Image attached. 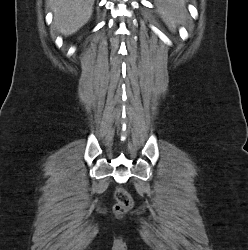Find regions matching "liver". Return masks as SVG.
<instances>
[{
  "label": "liver",
  "mask_w": 248,
  "mask_h": 250,
  "mask_svg": "<svg viewBox=\"0 0 248 250\" xmlns=\"http://www.w3.org/2000/svg\"><path fill=\"white\" fill-rule=\"evenodd\" d=\"M95 0H49L53 24L64 36L77 32L92 16Z\"/></svg>",
  "instance_id": "liver-1"
}]
</instances>
